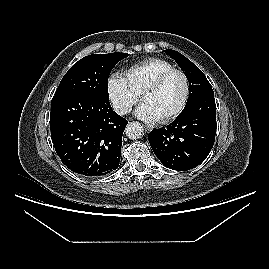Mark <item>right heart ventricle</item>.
Segmentation results:
<instances>
[{
	"mask_svg": "<svg viewBox=\"0 0 269 269\" xmlns=\"http://www.w3.org/2000/svg\"><path fill=\"white\" fill-rule=\"evenodd\" d=\"M173 68L174 66L166 60L150 58L128 68L125 75L131 88L140 94L156 77Z\"/></svg>",
	"mask_w": 269,
	"mask_h": 269,
	"instance_id": "right-heart-ventricle-1",
	"label": "right heart ventricle"
}]
</instances>
